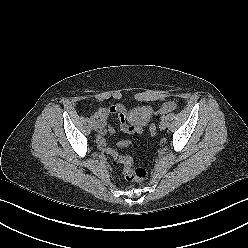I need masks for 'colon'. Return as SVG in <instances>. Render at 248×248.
Returning a JSON list of instances; mask_svg holds the SVG:
<instances>
[{"label":"colon","instance_id":"obj_1","mask_svg":"<svg viewBox=\"0 0 248 248\" xmlns=\"http://www.w3.org/2000/svg\"><path fill=\"white\" fill-rule=\"evenodd\" d=\"M151 135L157 133L155 124H151L149 127ZM131 142L129 140L122 139L118 142L120 147H128ZM107 153L119 164L122 165L123 175L126 180L131 182L142 183L146 180L147 172L143 168H136L133 165V159L130 156L122 155L113 148H108Z\"/></svg>","mask_w":248,"mask_h":248}]
</instances>
